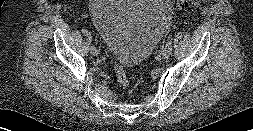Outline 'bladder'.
Here are the masks:
<instances>
[{"label":"bladder","instance_id":"bladder-1","mask_svg":"<svg viewBox=\"0 0 253 131\" xmlns=\"http://www.w3.org/2000/svg\"><path fill=\"white\" fill-rule=\"evenodd\" d=\"M172 12L170 0H90L91 20L108 54L128 68L147 59Z\"/></svg>","mask_w":253,"mask_h":131}]
</instances>
